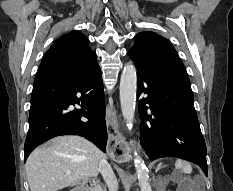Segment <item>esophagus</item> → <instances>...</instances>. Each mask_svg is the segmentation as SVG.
I'll use <instances>...</instances> for the list:
<instances>
[{"mask_svg":"<svg viewBox=\"0 0 233 191\" xmlns=\"http://www.w3.org/2000/svg\"><path fill=\"white\" fill-rule=\"evenodd\" d=\"M106 125L108 142H106L105 150L107 151L108 156H121L116 157V162L124 163L123 158L129 156V148L119 130L116 109L112 105L106 106Z\"/></svg>","mask_w":233,"mask_h":191,"instance_id":"esophagus-1","label":"esophagus"}]
</instances>
